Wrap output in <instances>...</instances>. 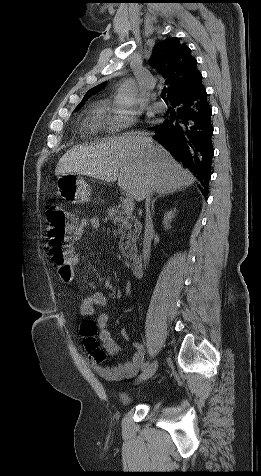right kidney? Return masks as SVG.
<instances>
[{
	"instance_id": "1",
	"label": "right kidney",
	"mask_w": 261,
	"mask_h": 476,
	"mask_svg": "<svg viewBox=\"0 0 261 476\" xmlns=\"http://www.w3.org/2000/svg\"><path fill=\"white\" fill-rule=\"evenodd\" d=\"M175 213H176V209L168 211L167 213H165L164 219H163V225H164L165 229L170 228V223H171L172 219L175 217Z\"/></svg>"
}]
</instances>
